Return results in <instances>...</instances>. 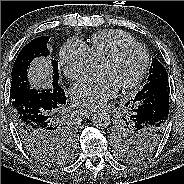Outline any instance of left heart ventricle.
<instances>
[{"instance_id": "obj_1", "label": "left heart ventricle", "mask_w": 184, "mask_h": 184, "mask_svg": "<svg viewBox=\"0 0 184 184\" xmlns=\"http://www.w3.org/2000/svg\"><path fill=\"white\" fill-rule=\"evenodd\" d=\"M143 54L137 48L127 50L118 60L100 63L97 70L111 76L119 87L132 81L143 65Z\"/></svg>"}]
</instances>
